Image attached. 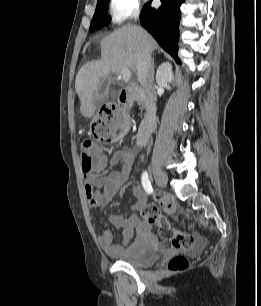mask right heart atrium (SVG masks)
I'll return each mask as SVG.
<instances>
[{
  "instance_id": "d8ad5b80",
  "label": "right heart atrium",
  "mask_w": 261,
  "mask_h": 306,
  "mask_svg": "<svg viewBox=\"0 0 261 306\" xmlns=\"http://www.w3.org/2000/svg\"><path fill=\"white\" fill-rule=\"evenodd\" d=\"M138 11L139 0H109V18L114 27L136 18Z\"/></svg>"
}]
</instances>
